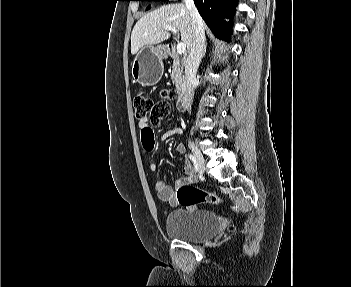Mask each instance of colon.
<instances>
[{
    "mask_svg": "<svg viewBox=\"0 0 351 287\" xmlns=\"http://www.w3.org/2000/svg\"><path fill=\"white\" fill-rule=\"evenodd\" d=\"M173 90H164L160 93L161 99L154 102L146 93H137L134 97V108L138 118L150 116L151 125L157 126L167 117L170 111V102L176 98ZM177 201L180 205L191 207L197 204H218L222 200L219 196L201 190L193 185H182L177 190Z\"/></svg>",
    "mask_w": 351,
    "mask_h": 287,
    "instance_id": "1",
    "label": "colon"
}]
</instances>
